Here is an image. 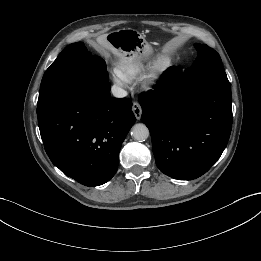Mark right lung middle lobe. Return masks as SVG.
Masks as SVG:
<instances>
[{
    "instance_id": "dd1d6c3e",
    "label": "right lung middle lobe",
    "mask_w": 261,
    "mask_h": 261,
    "mask_svg": "<svg viewBox=\"0 0 261 261\" xmlns=\"http://www.w3.org/2000/svg\"><path fill=\"white\" fill-rule=\"evenodd\" d=\"M108 80L106 63L102 58L91 55L82 42L70 44L43 76L37 113L74 87L108 83Z\"/></svg>"
}]
</instances>
